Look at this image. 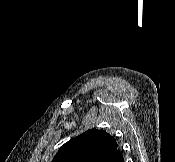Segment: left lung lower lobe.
Here are the masks:
<instances>
[{
  "instance_id": "obj_1",
  "label": "left lung lower lobe",
  "mask_w": 175,
  "mask_h": 162,
  "mask_svg": "<svg viewBox=\"0 0 175 162\" xmlns=\"http://www.w3.org/2000/svg\"><path fill=\"white\" fill-rule=\"evenodd\" d=\"M105 162H124V159L121 152L118 149H116L109 155Z\"/></svg>"
}]
</instances>
